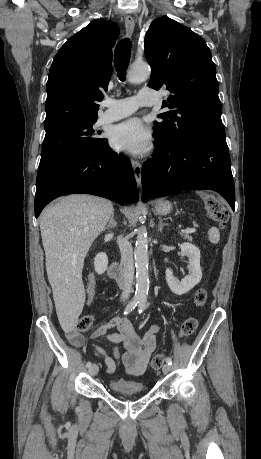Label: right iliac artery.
<instances>
[{
  "mask_svg": "<svg viewBox=\"0 0 261 459\" xmlns=\"http://www.w3.org/2000/svg\"><path fill=\"white\" fill-rule=\"evenodd\" d=\"M138 303H139V300H137V299L131 300V301L129 302V304L126 306L125 311H124V314H125V315L129 314L132 310L135 309V307L137 306ZM91 365H92L91 362H87V363H86V367H87V368H90Z\"/></svg>",
  "mask_w": 261,
  "mask_h": 459,
  "instance_id": "1",
  "label": "right iliac artery"
}]
</instances>
